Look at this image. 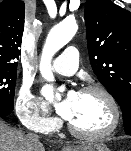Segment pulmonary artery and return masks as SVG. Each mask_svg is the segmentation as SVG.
<instances>
[{"label": "pulmonary artery", "instance_id": "pulmonary-artery-1", "mask_svg": "<svg viewBox=\"0 0 131 151\" xmlns=\"http://www.w3.org/2000/svg\"><path fill=\"white\" fill-rule=\"evenodd\" d=\"M78 56L76 47H67L61 55L54 59L53 70L62 75L74 74L78 68Z\"/></svg>", "mask_w": 131, "mask_h": 151}]
</instances>
